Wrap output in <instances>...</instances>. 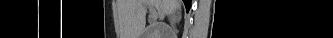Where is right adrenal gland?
I'll return each mask as SVG.
<instances>
[{
    "label": "right adrenal gland",
    "instance_id": "1",
    "mask_svg": "<svg viewBox=\"0 0 333 38\" xmlns=\"http://www.w3.org/2000/svg\"><path fill=\"white\" fill-rule=\"evenodd\" d=\"M169 20H170L171 24L174 25L177 21H179V18H178V16H175L174 13H172L169 16Z\"/></svg>",
    "mask_w": 333,
    "mask_h": 38
}]
</instances>
